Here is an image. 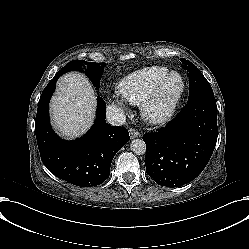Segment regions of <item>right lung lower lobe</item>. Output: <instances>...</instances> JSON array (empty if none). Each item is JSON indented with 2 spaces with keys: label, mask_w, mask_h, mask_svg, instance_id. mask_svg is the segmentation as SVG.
Returning a JSON list of instances; mask_svg holds the SVG:
<instances>
[{
  "label": "right lung lower lobe",
  "mask_w": 249,
  "mask_h": 249,
  "mask_svg": "<svg viewBox=\"0 0 249 249\" xmlns=\"http://www.w3.org/2000/svg\"><path fill=\"white\" fill-rule=\"evenodd\" d=\"M60 75L49 82L38 103L35 133L41 160L58 178L81 187L97 186L109 177L111 162L129 141V133L124 127L106 123V104L98 96L96 120L89 132L73 141L60 139L51 128L48 112Z\"/></svg>",
  "instance_id": "obj_1"
}]
</instances>
